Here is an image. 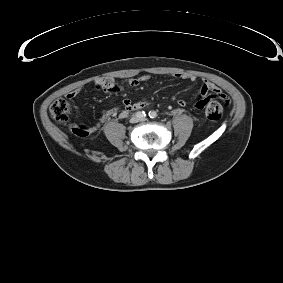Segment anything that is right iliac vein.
Returning a JSON list of instances; mask_svg holds the SVG:
<instances>
[{
  "label": "right iliac vein",
  "instance_id": "right-iliac-vein-1",
  "mask_svg": "<svg viewBox=\"0 0 283 283\" xmlns=\"http://www.w3.org/2000/svg\"><path fill=\"white\" fill-rule=\"evenodd\" d=\"M131 123H136L138 122V119L136 117H133L131 120H130Z\"/></svg>",
  "mask_w": 283,
  "mask_h": 283
}]
</instances>
